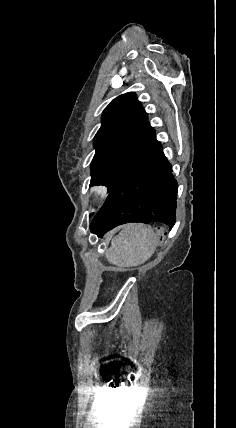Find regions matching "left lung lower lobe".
Returning <instances> with one entry per match:
<instances>
[{
	"label": "left lung lower lobe",
	"instance_id": "0a47b994",
	"mask_svg": "<svg viewBox=\"0 0 236 428\" xmlns=\"http://www.w3.org/2000/svg\"><path fill=\"white\" fill-rule=\"evenodd\" d=\"M177 181L153 130L135 160L109 192L90 229L98 237L129 222L175 224Z\"/></svg>",
	"mask_w": 236,
	"mask_h": 428
}]
</instances>
